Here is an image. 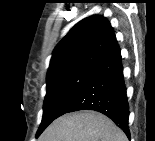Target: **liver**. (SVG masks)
Instances as JSON below:
<instances>
[{
	"instance_id": "obj_1",
	"label": "liver",
	"mask_w": 155,
	"mask_h": 141,
	"mask_svg": "<svg viewBox=\"0 0 155 141\" xmlns=\"http://www.w3.org/2000/svg\"><path fill=\"white\" fill-rule=\"evenodd\" d=\"M41 141H127L124 132L101 113L84 110L56 119Z\"/></svg>"
}]
</instances>
